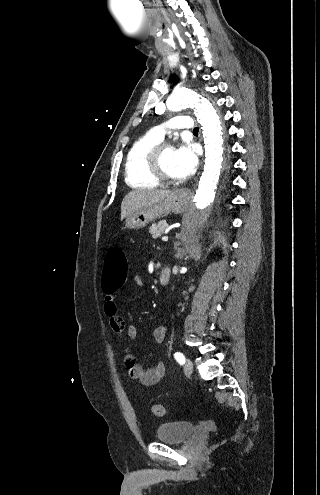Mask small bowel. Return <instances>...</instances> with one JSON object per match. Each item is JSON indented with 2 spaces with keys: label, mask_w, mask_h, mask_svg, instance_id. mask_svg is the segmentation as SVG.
Wrapping results in <instances>:
<instances>
[{
  "label": "small bowel",
  "mask_w": 320,
  "mask_h": 495,
  "mask_svg": "<svg viewBox=\"0 0 320 495\" xmlns=\"http://www.w3.org/2000/svg\"><path fill=\"white\" fill-rule=\"evenodd\" d=\"M137 285L142 281L135 277ZM104 313L109 319L112 330L118 334H125L126 337L135 341L138 336L137 328L133 324H126L118 314V307L115 300V291H105ZM168 333L167 325H160L154 329L153 335L157 343H163ZM124 366L127 374L132 379L139 380L145 386H152L158 383L165 374V365L158 363L152 368H145L136 362V358L127 350L124 356Z\"/></svg>",
  "instance_id": "c3829d8e"
}]
</instances>
